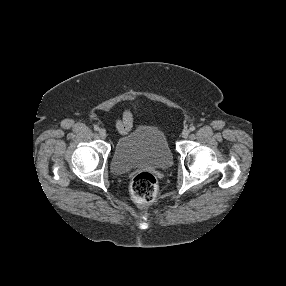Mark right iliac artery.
<instances>
[{
	"mask_svg": "<svg viewBox=\"0 0 286 286\" xmlns=\"http://www.w3.org/2000/svg\"><path fill=\"white\" fill-rule=\"evenodd\" d=\"M94 130L95 131H99V127L96 125V126H94Z\"/></svg>",
	"mask_w": 286,
	"mask_h": 286,
	"instance_id": "1",
	"label": "right iliac artery"
}]
</instances>
